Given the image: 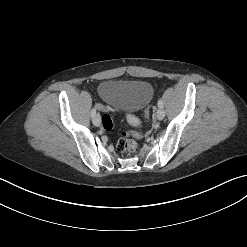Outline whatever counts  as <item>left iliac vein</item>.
<instances>
[{
    "label": "left iliac vein",
    "instance_id": "left-iliac-vein-1",
    "mask_svg": "<svg viewBox=\"0 0 247 247\" xmlns=\"http://www.w3.org/2000/svg\"><path fill=\"white\" fill-rule=\"evenodd\" d=\"M156 116H157V119H158V120H163L164 117H165V111H164L162 108H159V109L157 110Z\"/></svg>",
    "mask_w": 247,
    "mask_h": 247
}]
</instances>
